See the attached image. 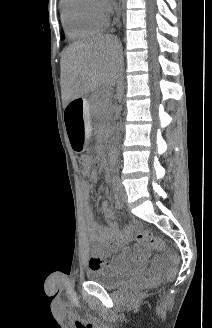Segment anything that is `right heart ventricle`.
I'll use <instances>...</instances> for the list:
<instances>
[{
  "label": "right heart ventricle",
  "mask_w": 212,
  "mask_h": 328,
  "mask_svg": "<svg viewBox=\"0 0 212 328\" xmlns=\"http://www.w3.org/2000/svg\"><path fill=\"white\" fill-rule=\"evenodd\" d=\"M62 20L67 35L72 39L93 36L106 25V18L96 12L91 0H64Z\"/></svg>",
  "instance_id": "obj_1"
}]
</instances>
